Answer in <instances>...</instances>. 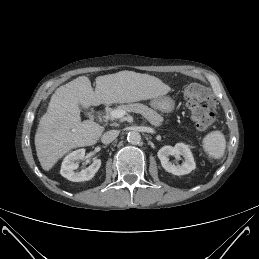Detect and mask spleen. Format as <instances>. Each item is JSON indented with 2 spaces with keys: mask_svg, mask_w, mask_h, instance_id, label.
I'll return each instance as SVG.
<instances>
[{
  "mask_svg": "<svg viewBox=\"0 0 259 259\" xmlns=\"http://www.w3.org/2000/svg\"><path fill=\"white\" fill-rule=\"evenodd\" d=\"M203 148L205 152L214 159H220L226 149V139L224 134L217 130L210 132L203 138Z\"/></svg>",
  "mask_w": 259,
  "mask_h": 259,
  "instance_id": "3e777b00",
  "label": "spleen"
}]
</instances>
